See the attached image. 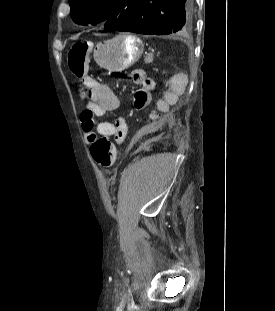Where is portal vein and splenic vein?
Returning a JSON list of instances; mask_svg holds the SVG:
<instances>
[{
	"label": "portal vein and splenic vein",
	"mask_w": 275,
	"mask_h": 311,
	"mask_svg": "<svg viewBox=\"0 0 275 311\" xmlns=\"http://www.w3.org/2000/svg\"><path fill=\"white\" fill-rule=\"evenodd\" d=\"M152 58H153V55L152 54H149L147 59H146V62H152Z\"/></svg>",
	"instance_id": "18ae733b"
}]
</instances>
